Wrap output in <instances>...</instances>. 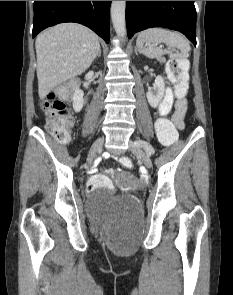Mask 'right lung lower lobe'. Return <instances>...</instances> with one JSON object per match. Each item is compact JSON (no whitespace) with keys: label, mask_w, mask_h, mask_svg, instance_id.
<instances>
[{"label":"right lung lower lobe","mask_w":233,"mask_h":295,"mask_svg":"<svg viewBox=\"0 0 233 295\" xmlns=\"http://www.w3.org/2000/svg\"><path fill=\"white\" fill-rule=\"evenodd\" d=\"M111 1H34L33 38L43 29L62 22H77L109 42Z\"/></svg>","instance_id":"obj_1"}]
</instances>
